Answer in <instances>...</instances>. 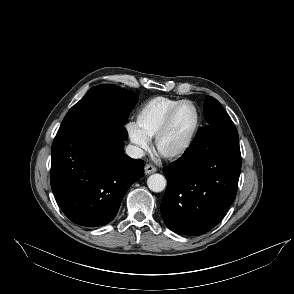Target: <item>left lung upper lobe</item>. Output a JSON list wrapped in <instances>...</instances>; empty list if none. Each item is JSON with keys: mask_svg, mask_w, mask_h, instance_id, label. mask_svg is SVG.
Returning a JSON list of instances; mask_svg holds the SVG:
<instances>
[{"mask_svg": "<svg viewBox=\"0 0 294 294\" xmlns=\"http://www.w3.org/2000/svg\"><path fill=\"white\" fill-rule=\"evenodd\" d=\"M204 117L206 126L219 124H233L230 116L223 109L222 105L213 97H208L204 103Z\"/></svg>", "mask_w": 294, "mask_h": 294, "instance_id": "1", "label": "left lung upper lobe"}]
</instances>
